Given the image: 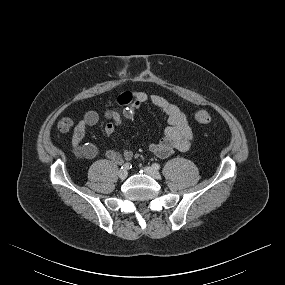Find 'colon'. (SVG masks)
Here are the masks:
<instances>
[{
  "label": "colon",
  "instance_id": "1",
  "mask_svg": "<svg viewBox=\"0 0 285 285\" xmlns=\"http://www.w3.org/2000/svg\"><path fill=\"white\" fill-rule=\"evenodd\" d=\"M191 117L196 123L199 124H208L211 122V115L208 111L203 109L192 112ZM70 127L71 121L68 119L62 120L58 125V129L61 133L69 131Z\"/></svg>",
  "mask_w": 285,
  "mask_h": 285
}]
</instances>
